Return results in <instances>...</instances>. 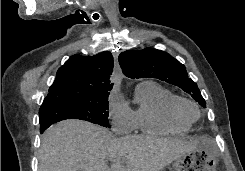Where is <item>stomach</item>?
<instances>
[{"mask_svg":"<svg viewBox=\"0 0 245 171\" xmlns=\"http://www.w3.org/2000/svg\"><path fill=\"white\" fill-rule=\"evenodd\" d=\"M217 161L212 146L204 142L174 162L175 171H216Z\"/></svg>","mask_w":245,"mask_h":171,"instance_id":"0dacf381","label":"stomach"}]
</instances>
